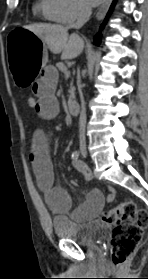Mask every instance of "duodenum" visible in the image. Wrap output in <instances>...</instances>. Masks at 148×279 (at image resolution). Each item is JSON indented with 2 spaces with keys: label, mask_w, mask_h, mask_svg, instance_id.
<instances>
[{
  "label": "duodenum",
  "mask_w": 148,
  "mask_h": 279,
  "mask_svg": "<svg viewBox=\"0 0 148 279\" xmlns=\"http://www.w3.org/2000/svg\"><path fill=\"white\" fill-rule=\"evenodd\" d=\"M68 110L71 115L77 116L80 113V104L79 101L76 99L68 100Z\"/></svg>",
  "instance_id": "obj_1"
}]
</instances>
